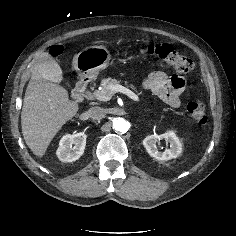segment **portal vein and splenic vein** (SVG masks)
<instances>
[{
    "instance_id": "obj_1",
    "label": "portal vein and splenic vein",
    "mask_w": 236,
    "mask_h": 236,
    "mask_svg": "<svg viewBox=\"0 0 236 236\" xmlns=\"http://www.w3.org/2000/svg\"><path fill=\"white\" fill-rule=\"evenodd\" d=\"M111 90L114 92H121L123 94H126L128 97H130L134 101H139V97L134 92H132L131 90H129L128 88L122 85L111 86ZM95 97L96 99L100 101H108L111 99V96L104 95L103 93H100V92H97L95 94Z\"/></svg>"
}]
</instances>
